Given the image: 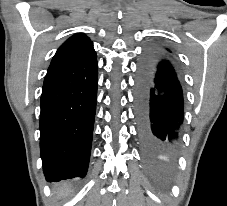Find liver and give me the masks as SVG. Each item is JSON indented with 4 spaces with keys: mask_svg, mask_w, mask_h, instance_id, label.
<instances>
[{
    "mask_svg": "<svg viewBox=\"0 0 227 206\" xmlns=\"http://www.w3.org/2000/svg\"><path fill=\"white\" fill-rule=\"evenodd\" d=\"M60 194L61 195H67L68 193V187L66 185H63L62 187L59 188Z\"/></svg>",
    "mask_w": 227,
    "mask_h": 206,
    "instance_id": "1",
    "label": "liver"
}]
</instances>
